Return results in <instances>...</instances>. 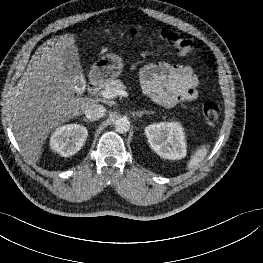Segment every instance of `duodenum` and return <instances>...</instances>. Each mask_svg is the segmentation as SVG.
I'll return each instance as SVG.
<instances>
[{"label": "duodenum", "mask_w": 263, "mask_h": 263, "mask_svg": "<svg viewBox=\"0 0 263 263\" xmlns=\"http://www.w3.org/2000/svg\"><path fill=\"white\" fill-rule=\"evenodd\" d=\"M101 84L97 80H93L88 85V91L90 94L95 95L100 90Z\"/></svg>", "instance_id": "obj_1"}]
</instances>
